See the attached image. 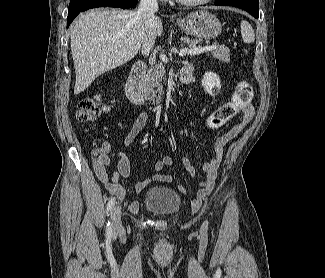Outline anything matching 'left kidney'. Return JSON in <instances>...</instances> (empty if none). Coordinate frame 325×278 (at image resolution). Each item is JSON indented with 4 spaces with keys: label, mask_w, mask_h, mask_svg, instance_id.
<instances>
[{
    "label": "left kidney",
    "mask_w": 325,
    "mask_h": 278,
    "mask_svg": "<svg viewBox=\"0 0 325 278\" xmlns=\"http://www.w3.org/2000/svg\"><path fill=\"white\" fill-rule=\"evenodd\" d=\"M201 84L204 90L211 96L218 94L221 89L220 78L213 72L205 73Z\"/></svg>",
    "instance_id": "obj_1"
}]
</instances>
